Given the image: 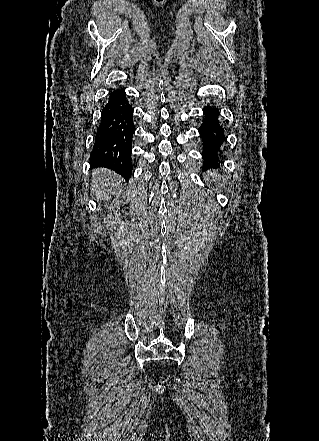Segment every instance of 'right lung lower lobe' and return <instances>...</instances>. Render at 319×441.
<instances>
[{
	"label": "right lung lower lobe",
	"mask_w": 319,
	"mask_h": 441,
	"mask_svg": "<svg viewBox=\"0 0 319 441\" xmlns=\"http://www.w3.org/2000/svg\"><path fill=\"white\" fill-rule=\"evenodd\" d=\"M135 132L133 109L123 91L109 94L95 134L92 165L114 170L125 179L132 173L131 147Z\"/></svg>",
	"instance_id": "98d812e1"
}]
</instances>
